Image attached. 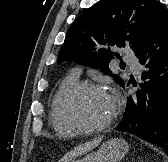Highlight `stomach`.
I'll list each match as a JSON object with an SVG mask.
<instances>
[{
    "label": "stomach",
    "instance_id": "0dacf381",
    "mask_svg": "<svg viewBox=\"0 0 168 162\" xmlns=\"http://www.w3.org/2000/svg\"><path fill=\"white\" fill-rule=\"evenodd\" d=\"M125 140L113 138L104 142L101 147L83 158H73L69 162H118L128 152Z\"/></svg>",
    "mask_w": 168,
    "mask_h": 162
}]
</instances>
